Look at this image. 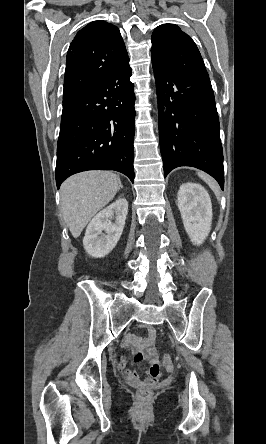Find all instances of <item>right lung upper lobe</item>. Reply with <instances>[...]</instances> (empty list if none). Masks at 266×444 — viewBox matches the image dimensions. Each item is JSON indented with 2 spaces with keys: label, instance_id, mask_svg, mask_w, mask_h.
<instances>
[{
  "label": "right lung upper lobe",
  "instance_id": "cb5924a9",
  "mask_svg": "<svg viewBox=\"0 0 266 444\" xmlns=\"http://www.w3.org/2000/svg\"><path fill=\"white\" fill-rule=\"evenodd\" d=\"M128 59L115 25L102 20L86 25L76 34L67 53L63 105L90 91Z\"/></svg>",
  "mask_w": 266,
  "mask_h": 444
}]
</instances>
